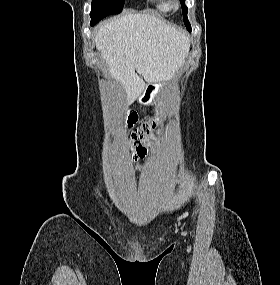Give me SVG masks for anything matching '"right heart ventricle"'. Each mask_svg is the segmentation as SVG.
<instances>
[{
    "label": "right heart ventricle",
    "instance_id": "1",
    "mask_svg": "<svg viewBox=\"0 0 280 285\" xmlns=\"http://www.w3.org/2000/svg\"><path fill=\"white\" fill-rule=\"evenodd\" d=\"M155 4L161 11L166 12L171 10V5L168 0H156Z\"/></svg>",
    "mask_w": 280,
    "mask_h": 285
}]
</instances>
